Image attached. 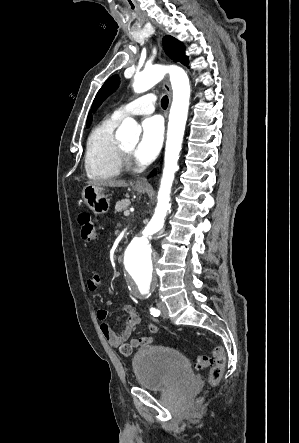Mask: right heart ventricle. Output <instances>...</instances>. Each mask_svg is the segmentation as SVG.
Returning <instances> with one entry per match:
<instances>
[{"instance_id": "e07e8e85", "label": "right heart ventricle", "mask_w": 299, "mask_h": 443, "mask_svg": "<svg viewBox=\"0 0 299 443\" xmlns=\"http://www.w3.org/2000/svg\"><path fill=\"white\" fill-rule=\"evenodd\" d=\"M119 119L110 117L99 123L89 134L85 153V170L95 180L113 179L120 175L123 164L120 142L115 136Z\"/></svg>"}]
</instances>
